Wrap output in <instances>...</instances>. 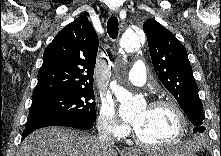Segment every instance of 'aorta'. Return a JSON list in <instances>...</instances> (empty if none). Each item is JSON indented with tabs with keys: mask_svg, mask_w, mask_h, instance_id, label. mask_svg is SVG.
<instances>
[{
	"mask_svg": "<svg viewBox=\"0 0 221 156\" xmlns=\"http://www.w3.org/2000/svg\"><path fill=\"white\" fill-rule=\"evenodd\" d=\"M140 44L141 36L133 30L124 32L119 40V46L127 52H133ZM110 88L120 103L119 115L122 119H132L135 112L143 107L144 102L141 99L134 97L131 92L117 85L116 82L113 81Z\"/></svg>",
	"mask_w": 221,
	"mask_h": 156,
	"instance_id": "1",
	"label": "aorta"
}]
</instances>
